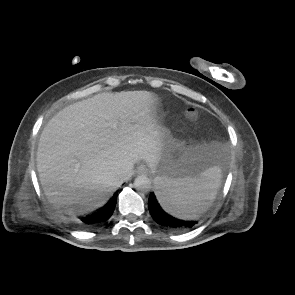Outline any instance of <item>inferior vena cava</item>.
I'll use <instances>...</instances> for the list:
<instances>
[{
  "mask_svg": "<svg viewBox=\"0 0 295 295\" xmlns=\"http://www.w3.org/2000/svg\"><path fill=\"white\" fill-rule=\"evenodd\" d=\"M131 175H129L128 177H125V180L128 179Z\"/></svg>",
  "mask_w": 295,
  "mask_h": 295,
  "instance_id": "obj_1",
  "label": "inferior vena cava"
}]
</instances>
